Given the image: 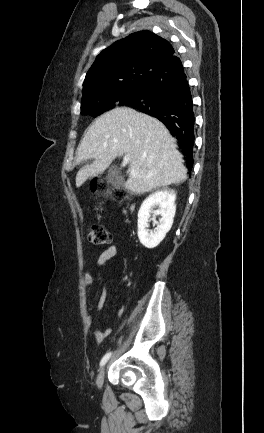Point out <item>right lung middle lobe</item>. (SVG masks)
I'll return each instance as SVG.
<instances>
[{"instance_id": "dd1d6c3e", "label": "right lung middle lobe", "mask_w": 264, "mask_h": 433, "mask_svg": "<svg viewBox=\"0 0 264 433\" xmlns=\"http://www.w3.org/2000/svg\"><path fill=\"white\" fill-rule=\"evenodd\" d=\"M140 88L141 85L127 86L100 97L83 99L81 114L97 117L112 108L123 106L124 103L137 95Z\"/></svg>"}]
</instances>
